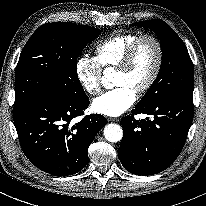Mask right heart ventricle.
<instances>
[{
  "label": "right heart ventricle",
  "instance_id": "1",
  "mask_svg": "<svg viewBox=\"0 0 206 206\" xmlns=\"http://www.w3.org/2000/svg\"><path fill=\"white\" fill-rule=\"evenodd\" d=\"M139 36V33H119L101 42L96 47V58L102 69L117 68L130 45Z\"/></svg>",
  "mask_w": 206,
  "mask_h": 206
}]
</instances>
